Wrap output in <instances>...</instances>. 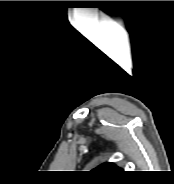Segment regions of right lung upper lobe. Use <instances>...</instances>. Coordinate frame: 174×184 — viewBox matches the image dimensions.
<instances>
[{
  "label": "right lung upper lobe",
  "mask_w": 174,
  "mask_h": 184,
  "mask_svg": "<svg viewBox=\"0 0 174 184\" xmlns=\"http://www.w3.org/2000/svg\"><path fill=\"white\" fill-rule=\"evenodd\" d=\"M93 172L102 173V174H112L116 172H121L122 169L115 166L113 163H104L97 168L92 170Z\"/></svg>",
  "instance_id": "cb5924a9"
}]
</instances>
